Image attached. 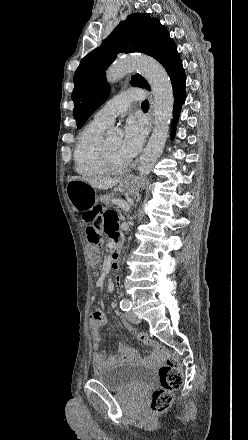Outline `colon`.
Instances as JSON below:
<instances>
[{"mask_svg": "<svg viewBox=\"0 0 248 440\" xmlns=\"http://www.w3.org/2000/svg\"><path fill=\"white\" fill-rule=\"evenodd\" d=\"M83 220L89 224L86 235L92 248L90 259L93 265L98 263V247L101 243L100 230L104 224L101 217V209L98 206H91L83 214ZM135 337L146 346L151 347L155 352L164 355V363L158 370L160 388L152 395L150 411L154 414L164 413L172 404L174 392L183 383V371L177 358L163 345L152 340L146 334L137 332Z\"/></svg>", "mask_w": 248, "mask_h": 440, "instance_id": "5ec220e1", "label": "colon"}]
</instances>
